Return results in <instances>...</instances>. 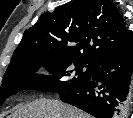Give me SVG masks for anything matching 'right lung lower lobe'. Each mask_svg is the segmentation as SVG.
<instances>
[{
  "label": "right lung lower lobe",
  "mask_w": 133,
  "mask_h": 118,
  "mask_svg": "<svg viewBox=\"0 0 133 118\" xmlns=\"http://www.w3.org/2000/svg\"><path fill=\"white\" fill-rule=\"evenodd\" d=\"M133 45L98 60L83 85L59 93L62 102L76 106L96 118H125L130 102Z\"/></svg>",
  "instance_id": "98d812e1"
}]
</instances>
